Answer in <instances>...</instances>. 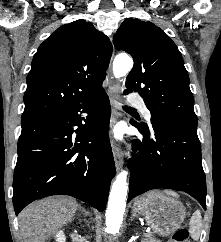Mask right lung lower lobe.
Instances as JSON below:
<instances>
[{"label":"right lung lower lobe","instance_id":"obj_1","mask_svg":"<svg viewBox=\"0 0 221 242\" xmlns=\"http://www.w3.org/2000/svg\"><path fill=\"white\" fill-rule=\"evenodd\" d=\"M110 115L102 88L63 111L22 121L13 179L16 215L32 201L51 195H70L104 210L115 176Z\"/></svg>","mask_w":221,"mask_h":242}]
</instances>
